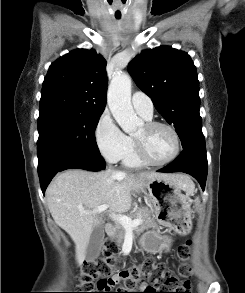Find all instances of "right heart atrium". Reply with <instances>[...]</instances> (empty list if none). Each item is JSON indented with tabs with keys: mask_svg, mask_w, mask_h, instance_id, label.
<instances>
[{
	"mask_svg": "<svg viewBox=\"0 0 245 293\" xmlns=\"http://www.w3.org/2000/svg\"><path fill=\"white\" fill-rule=\"evenodd\" d=\"M95 141L101 154L110 162L123 159L133 145L132 139L107 114L102 115L96 125Z\"/></svg>",
	"mask_w": 245,
	"mask_h": 293,
	"instance_id": "1",
	"label": "right heart atrium"
}]
</instances>
